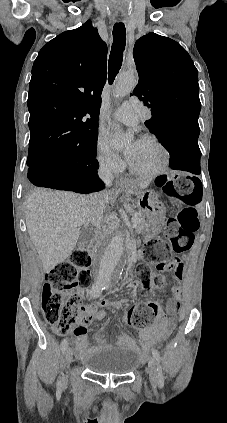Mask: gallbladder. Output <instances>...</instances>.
Returning <instances> with one entry per match:
<instances>
[{"instance_id": "1", "label": "gallbladder", "mask_w": 227, "mask_h": 423, "mask_svg": "<svg viewBox=\"0 0 227 423\" xmlns=\"http://www.w3.org/2000/svg\"><path fill=\"white\" fill-rule=\"evenodd\" d=\"M94 237V231L91 229L90 225H87V227H83L81 229L79 241H78V247H85L87 243H89L90 239H93Z\"/></svg>"}]
</instances>
